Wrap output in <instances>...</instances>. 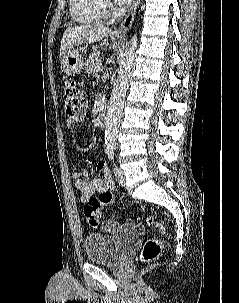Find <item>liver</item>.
Segmentation results:
<instances>
[{
    "mask_svg": "<svg viewBox=\"0 0 239 303\" xmlns=\"http://www.w3.org/2000/svg\"><path fill=\"white\" fill-rule=\"evenodd\" d=\"M111 30L101 24H86L67 28L62 36L60 56L76 45L91 44L106 37Z\"/></svg>",
    "mask_w": 239,
    "mask_h": 303,
    "instance_id": "6515ba94",
    "label": "liver"
}]
</instances>
